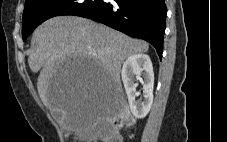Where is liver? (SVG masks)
I'll return each mask as SVG.
<instances>
[{
  "instance_id": "liver-1",
  "label": "liver",
  "mask_w": 227,
  "mask_h": 142,
  "mask_svg": "<svg viewBox=\"0 0 227 142\" xmlns=\"http://www.w3.org/2000/svg\"><path fill=\"white\" fill-rule=\"evenodd\" d=\"M28 64L40 71L37 89L51 112H61L63 127L81 135L85 126L99 114L100 97L105 92H121L123 61L148 51L149 44L117 30L76 16H58L42 23L33 33ZM59 61H94L99 78L93 88H62L52 73Z\"/></svg>"
}]
</instances>
